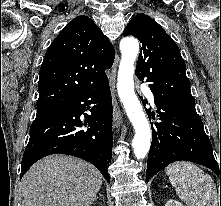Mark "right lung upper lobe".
Wrapping results in <instances>:
<instances>
[{
    "instance_id": "1",
    "label": "right lung upper lobe",
    "mask_w": 221,
    "mask_h": 206,
    "mask_svg": "<svg viewBox=\"0 0 221 206\" xmlns=\"http://www.w3.org/2000/svg\"><path fill=\"white\" fill-rule=\"evenodd\" d=\"M114 57L109 39L89 17L74 18L45 54L39 72L37 108L64 104L103 82Z\"/></svg>"
}]
</instances>
